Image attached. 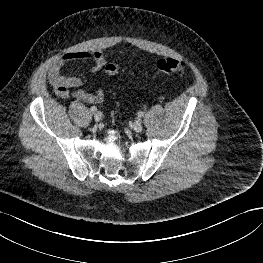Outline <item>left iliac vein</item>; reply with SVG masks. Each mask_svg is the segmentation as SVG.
<instances>
[{"label": "left iliac vein", "instance_id": "4c4485c4", "mask_svg": "<svg viewBox=\"0 0 263 263\" xmlns=\"http://www.w3.org/2000/svg\"><path fill=\"white\" fill-rule=\"evenodd\" d=\"M142 128H143V126H142V123H141L140 121H135V122L133 123V130H134L135 132H141V131H142Z\"/></svg>", "mask_w": 263, "mask_h": 263}]
</instances>
